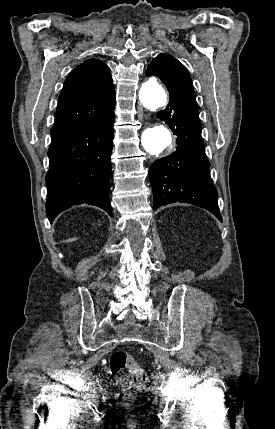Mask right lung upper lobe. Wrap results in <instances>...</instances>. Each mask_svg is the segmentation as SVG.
<instances>
[{"mask_svg":"<svg viewBox=\"0 0 275 429\" xmlns=\"http://www.w3.org/2000/svg\"><path fill=\"white\" fill-rule=\"evenodd\" d=\"M110 68L90 59L68 75L59 95L51 135L114 115L115 97Z\"/></svg>","mask_w":275,"mask_h":429,"instance_id":"1","label":"right lung upper lobe"}]
</instances>
